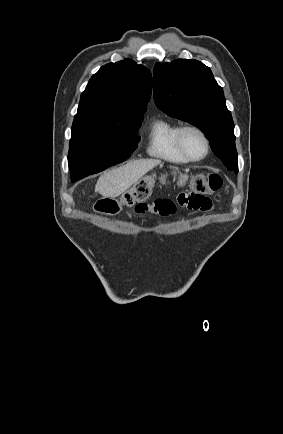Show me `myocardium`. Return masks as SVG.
<instances>
[{
	"instance_id": "1",
	"label": "myocardium",
	"mask_w": 283,
	"mask_h": 434,
	"mask_svg": "<svg viewBox=\"0 0 283 434\" xmlns=\"http://www.w3.org/2000/svg\"><path fill=\"white\" fill-rule=\"evenodd\" d=\"M190 130L197 132L204 141L205 151L199 157L191 156L184 146V142H183L184 134ZM176 143H177V147H178V150L180 151V153L183 155L184 158H186L190 162L201 161V160L205 159L210 152V141H209L207 134L205 133V131L202 128H200L199 126L194 125V124L183 125L178 129L177 135H176Z\"/></svg>"
}]
</instances>
